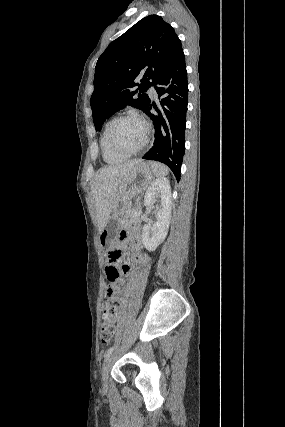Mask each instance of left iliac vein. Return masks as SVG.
Here are the masks:
<instances>
[{
  "instance_id": "obj_1",
  "label": "left iliac vein",
  "mask_w": 285,
  "mask_h": 427,
  "mask_svg": "<svg viewBox=\"0 0 285 427\" xmlns=\"http://www.w3.org/2000/svg\"><path fill=\"white\" fill-rule=\"evenodd\" d=\"M112 359H113V356L111 355V356L108 358V360H107V362H106V364H105L104 370H103V383H104V384H106V383H107V376H108V372H109L110 365H111V363H112Z\"/></svg>"
}]
</instances>
